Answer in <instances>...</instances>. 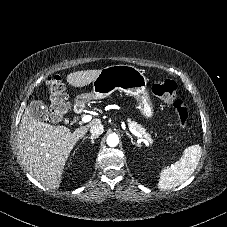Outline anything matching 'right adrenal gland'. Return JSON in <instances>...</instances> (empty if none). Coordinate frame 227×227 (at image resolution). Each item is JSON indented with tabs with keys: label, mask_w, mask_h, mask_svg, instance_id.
Segmentation results:
<instances>
[{
	"label": "right adrenal gland",
	"mask_w": 227,
	"mask_h": 227,
	"mask_svg": "<svg viewBox=\"0 0 227 227\" xmlns=\"http://www.w3.org/2000/svg\"><path fill=\"white\" fill-rule=\"evenodd\" d=\"M87 138L91 139V143L93 144L94 139L98 138V136H90V137L86 136V137H84V139H87Z\"/></svg>",
	"instance_id": "obj_1"
}]
</instances>
